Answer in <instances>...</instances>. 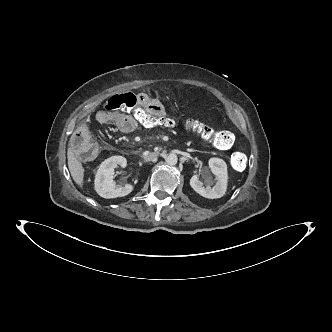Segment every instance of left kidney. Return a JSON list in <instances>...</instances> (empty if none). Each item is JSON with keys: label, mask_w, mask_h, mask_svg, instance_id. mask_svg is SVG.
<instances>
[{"label": "left kidney", "mask_w": 332, "mask_h": 332, "mask_svg": "<svg viewBox=\"0 0 332 332\" xmlns=\"http://www.w3.org/2000/svg\"><path fill=\"white\" fill-rule=\"evenodd\" d=\"M209 167L211 172L217 178V182L213 187L209 185L204 187L203 182L199 180L198 175H193L191 177L190 185L197 193L205 198H221L225 194L227 188V165L225 161L220 158H211L209 159Z\"/></svg>", "instance_id": "left-kidney-1"}]
</instances>
